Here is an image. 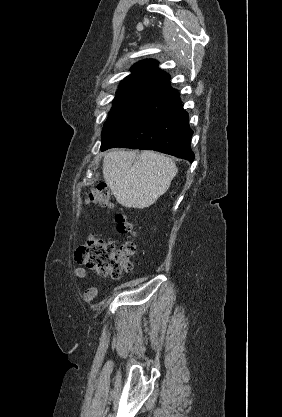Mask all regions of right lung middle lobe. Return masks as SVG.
<instances>
[{
    "mask_svg": "<svg viewBox=\"0 0 282 417\" xmlns=\"http://www.w3.org/2000/svg\"><path fill=\"white\" fill-rule=\"evenodd\" d=\"M159 96L160 94L144 92L117 93L103 127L102 143L140 115Z\"/></svg>",
    "mask_w": 282,
    "mask_h": 417,
    "instance_id": "1",
    "label": "right lung middle lobe"
}]
</instances>
